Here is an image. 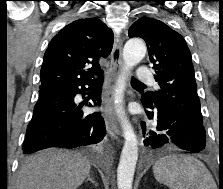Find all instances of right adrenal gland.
I'll return each instance as SVG.
<instances>
[{
  "instance_id": "1",
  "label": "right adrenal gland",
  "mask_w": 223,
  "mask_h": 189,
  "mask_svg": "<svg viewBox=\"0 0 223 189\" xmlns=\"http://www.w3.org/2000/svg\"><path fill=\"white\" fill-rule=\"evenodd\" d=\"M87 181H90V182H92L93 184H96L95 181L91 178L90 174L87 176V180H86V182H87Z\"/></svg>"
}]
</instances>
